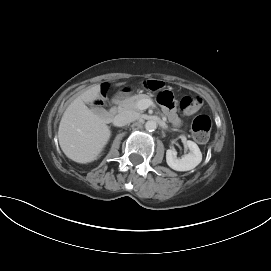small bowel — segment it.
Listing matches in <instances>:
<instances>
[{
    "label": "small bowel",
    "instance_id": "1",
    "mask_svg": "<svg viewBox=\"0 0 271 271\" xmlns=\"http://www.w3.org/2000/svg\"><path fill=\"white\" fill-rule=\"evenodd\" d=\"M166 114H167L168 118L170 119V121L174 125H178L180 123V120H179L173 106L166 107Z\"/></svg>",
    "mask_w": 271,
    "mask_h": 271
}]
</instances>
